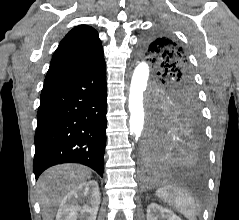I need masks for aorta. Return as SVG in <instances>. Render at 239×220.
<instances>
[{
	"label": "aorta",
	"mask_w": 239,
	"mask_h": 220,
	"mask_svg": "<svg viewBox=\"0 0 239 220\" xmlns=\"http://www.w3.org/2000/svg\"><path fill=\"white\" fill-rule=\"evenodd\" d=\"M150 85L149 66L144 61H139L134 67L131 78L128 107L130 112L129 129L130 134L137 140L144 129V92Z\"/></svg>",
	"instance_id": "aorta-1"
}]
</instances>
